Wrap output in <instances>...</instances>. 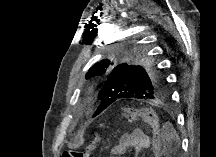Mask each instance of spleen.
<instances>
[{
    "label": "spleen",
    "instance_id": "obj_1",
    "mask_svg": "<svg viewBox=\"0 0 216 157\" xmlns=\"http://www.w3.org/2000/svg\"><path fill=\"white\" fill-rule=\"evenodd\" d=\"M168 126L171 125L169 124ZM161 139L165 149H171L172 145H174L176 149L180 147L179 136L173 128H170V132L162 134Z\"/></svg>",
    "mask_w": 216,
    "mask_h": 157
}]
</instances>
